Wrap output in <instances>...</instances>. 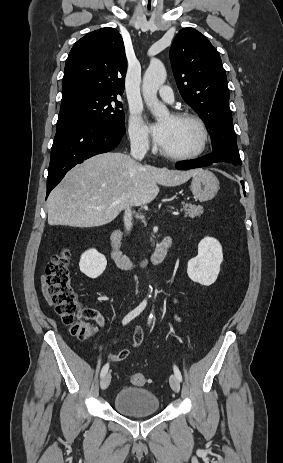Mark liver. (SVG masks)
<instances>
[{
  "label": "liver",
  "instance_id": "1",
  "mask_svg": "<svg viewBox=\"0 0 283 463\" xmlns=\"http://www.w3.org/2000/svg\"><path fill=\"white\" fill-rule=\"evenodd\" d=\"M199 172L143 165L129 155H96L71 169L47 200L48 224L79 228L110 223L127 206L150 203L158 185H181Z\"/></svg>",
  "mask_w": 283,
  "mask_h": 463
}]
</instances>
